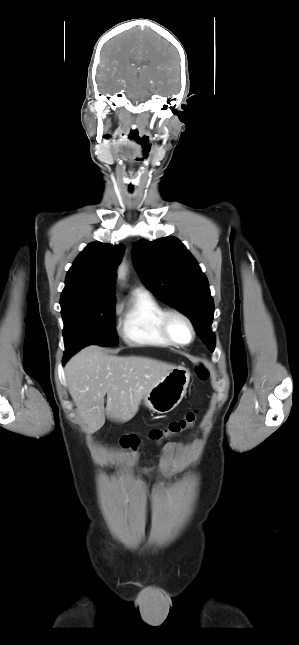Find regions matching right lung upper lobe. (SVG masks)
<instances>
[{
  "mask_svg": "<svg viewBox=\"0 0 299 645\" xmlns=\"http://www.w3.org/2000/svg\"><path fill=\"white\" fill-rule=\"evenodd\" d=\"M124 250L123 244L92 242L87 245L67 273L60 303L115 298V271Z\"/></svg>",
  "mask_w": 299,
  "mask_h": 645,
  "instance_id": "cb5924a9",
  "label": "right lung upper lobe"
}]
</instances>
